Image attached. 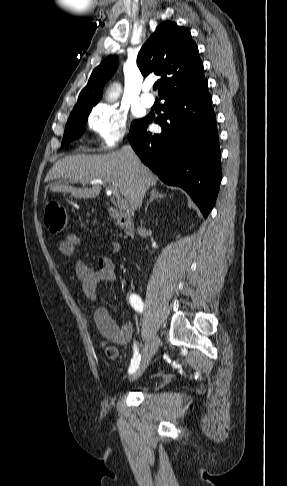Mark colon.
<instances>
[{
    "instance_id": "5ec220e1",
    "label": "colon",
    "mask_w": 287,
    "mask_h": 486,
    "mask_svg": "<svg viewBox=\"0 0 287 486\" xmlns=\"http://www.w3.org/2000/svg\"><path fill=\"white\" fill-rule=\"evenodd\" d=\"M44 224L53 233H59L64 230L67 224V214L64 206L60 202L50 200L46 203L44 208ZM104 351L109 359H117L118 351L116 348L105 345Z\"/></svg>"
}]
</instances>
